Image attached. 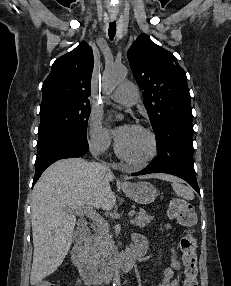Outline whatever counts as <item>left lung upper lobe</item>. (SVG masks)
Segmentation results:
<instances>
[{
    "label": "left lung upper lobe",
    "mask_w": 231,
    "mask_h": 286,
    "mask_svg": "<svg viewBox=\"0 0 231 286\" xmlns=\"http://www.w3.org/2000/svg\"><path fill=\"white\" fill-rule=\"evenodd\" d=\"M127 57L155 133L170 120L192 121L187 77L172 53L142 34Z\"/></svg>",
    "instance_id": "1"
}]
</instances>
